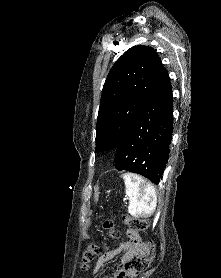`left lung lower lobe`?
<instances>
[{
	"instance_id": "left-lung-lower-lobe-1",
	"label": "left lung lower lobe",
	"mask_w": 221,
	"mask_h": 278,
	"mask_svg": "<svg viewBox=\"0 0 221 278\" xmlns=\"http://www.w3.org/2000/svg\"><path fill=\"white\" fill-rule=\"evenodd\" d=\"M172 131L173 96L165 71L148 103L116 148V168L141 174L158 184L169 158Z\"/></svg>"
}]
</instances>
